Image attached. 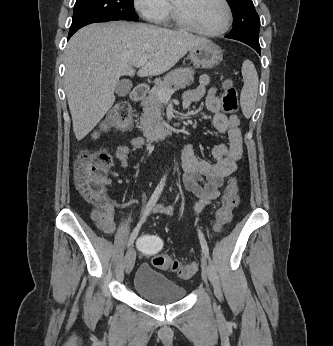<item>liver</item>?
<instances>
[{"mask_svg": "<svg viewBox=\"0 0 333 346\" xmlns=\"http://www.w3.org/2000/svg\"><path fill=\"white\" fill-rule=\"evenodd\" d=\"M208 42L192 34L148 24H91L69 40L65 50V93L78 141L100 122L115 101L119 78L135 75V63L151 55L137 72L157 76L171 69L188 51Z\"/></svg>", "mask_w": 333, "mask_h": 346, "instance_id": "obj_1", "label": "liver"}]
</instances>
